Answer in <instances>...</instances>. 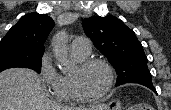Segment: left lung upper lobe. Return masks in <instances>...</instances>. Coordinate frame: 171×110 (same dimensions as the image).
Instances as JSON below:
<instances>
[{
  "instance_id": "obj_1",
  "label": "left lung upper lobe",
  "mask_w": 171,
  "mask_h": 110,
  "mask_svg": "<svg viewBox=\"0 0 171 110\" xmlns=\"http://www.w3.org/2000/svg\"><path fill=\"white\" fill-rule=\"evenodd\" d=\"M94 46L108 57L118 74L116 86L125 83L152 85L147 57L135 33L120 19L93 16L82 22Z\"/></svg>"
}]
</instances>
